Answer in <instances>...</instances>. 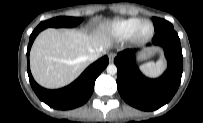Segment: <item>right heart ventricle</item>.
<instances>
[{
	"label": "right heart ventricle",
	"mask_w": 203,
	"mask_h": 123,
	"mask_svg": "<svg viewBox=\"0 0 203 123\" xmlns=\"http://www.w3.org/2000/svg\"><path fill=\"white\" fill-rule=\"evenodd\" d=\"M141 21L139 18H128L113 21L105 27L106 32L117 39L130 38L132 31Z\"/></svg>",
	"instance_id": "e07e8e85"
}]
</instances>
